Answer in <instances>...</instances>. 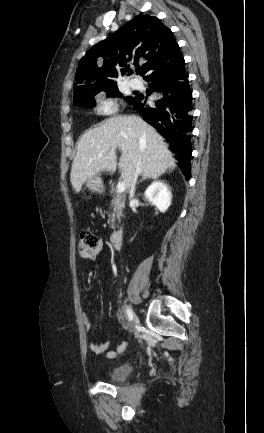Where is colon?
Returning a JSON list of instances; mask_svg holds the SVG:
<instances>
[{
	"label": "colon",
	"mask_w": 264,
	"mask_h": 433,
	"mask_svg": "<svg viewBox=\"0 0 264 433\" xmlns=\"http://www.w3.org/2000/svg\"><path fill=\"white\" fill-rule=\"evenodd\" d=\"M98 238L90 230H82L78 236L77 248L80 253L91 251L98 243Z\"/></svg>",
	"instance_id": "5ec220e1"
}]
</instances>
